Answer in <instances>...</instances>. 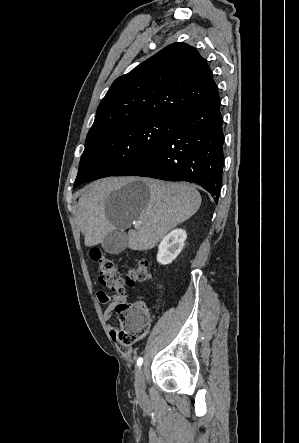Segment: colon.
I'll list each match as a JSON object with an SVG mask.
<instances>
[{"instance_id":"1","label":"colon","mask_w":299,"mask_h":443,"mask_svg":"<svg viewBox=\"0 0 299 443\" xmlns=\"http://www.w3.org/2000/svg\"><path fill=\"white\" fill-rule=\"evenodd\" d=\"M90 256L98 263L100 283L117 293H124L137 282H144L152 277V268L148 261H139L135 267L128 269L125 277H122L115 264L99 249L93 248ZM115 312L120 324L118 334L120 349L128 355L131 346L148 335L153 319L141 301L120 303L116 306Z\"/></svg>"}]
</instances>
